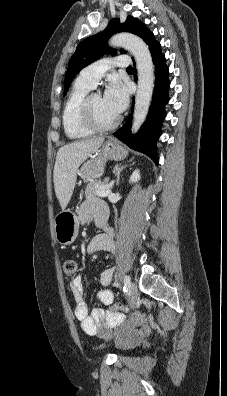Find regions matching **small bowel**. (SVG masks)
<instances>
[{
    "label": "small bowel",
    "instance_id": "obj_1",
    "mask_svg": "<svg viewBox=\"0 0 227 396\" xmlns=\"http://www.w3.org/2000/svg\"><path fill=\"white\" fill-rule=\"evenodd\" d=\"M107 215L108 209L105 203L98 199L86 201L78 211L79 219L83 224H89L92 221L98 223L103 217H106L107 220ZM87 249L90 252L97 250L114 252L116 244L112 229L106 226L103 233L96 235L91 240ZM113 276V268H107L100 274V283L104 289L98 292L97 299L104 306H110L114 302V292L107 288L112 282ZM69 289L76 304L75 317L79 320L86 334L109 338L111 330L119 327L118 342L123 344H134L150 335L151 329L142 316H136L125 321L122 308L119 311H113L111 308L96 307L89 313L87 303L84 300V282L80 275L70 282Z\"/></svg>",
    "mask_w": 227,
    "mask_h": 396
}]
</instances>
